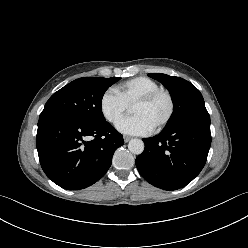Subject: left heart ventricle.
I'll return each mask as SVG.
<instances>
[{
  "label": "left heart ventricle",
  "instance_id": "1",
  "mask_svg": "<svg viewBox=\"0 0 248 248\" xmlns=\"http://www.w3.org/2000/svg\"><path fill=\"white\" fill-rule=\"evenodd\" d=\"M168 108L167 98L160 96L149 104L133 106L132 113L142 116L152 128H155L165 118Z\"/></svg>",
  "mask_w": 248,
  "mask_h": 248
}]
</instances>
